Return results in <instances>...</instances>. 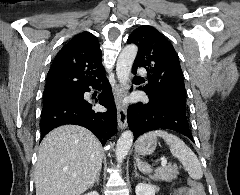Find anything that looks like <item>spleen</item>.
<instances>
[{"mask_svg":"<svg viewBox=\"0 0 240 195\" xmlns=\"http://www.w3.org/2000/svg\"><path fill=\"white\" fill-rule=\"evenodd\" d=\"M163 137L165 139L167 145L170 147V151L174 157H178L179 161H181L182 165L186 167V171H188L190 177L192 179H201L203 177V171L201 169V163L195 155L194 151L180 139L177 135H173V133H168V131H164V129H155V131H148V133H143L140 135L139 139H147V137ZM136 163L143 173H149L151 171L150 165L146 163V161H141L139 157H135Z\"/></svg>","mask_w":240,"mask_h":195,"instance_id":"1","label":"spleen"}]
</instances>
